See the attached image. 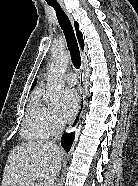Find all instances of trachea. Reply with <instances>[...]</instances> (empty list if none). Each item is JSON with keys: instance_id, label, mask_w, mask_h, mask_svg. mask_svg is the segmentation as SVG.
Wrapping results in <instances>:
<instances>
[{"instance_id": "1", "label": "trachea", "mask_w": 138, "mask_h": 186, "mask_svg": "<svg viewBox=\"0 0 138 186\" xmlns=\"http://www.w3.org/2000/svg\"><path fill=\"white\" fill-rule=\"evenodd\" d=\"M47 4L53 7L56 11L59 25L64 33L67 42V47L71 54L72 63L76 69H79L81 67L80 51L71 22L68 16L58 4V2H47Z\"/></svg>"}]
</instances>
